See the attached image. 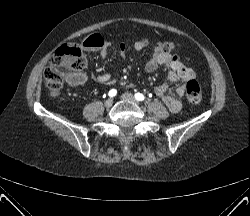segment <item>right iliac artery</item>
<instances>
[{
	"label": "right iliac artery",
	"mask_w": 250,
	"mask_h": 216,
	"mask_svg": "<svg viewBox=\"0 0 250 216\" xmlns=\"http://www.w3.org/2000/svg\"><path fill=\"white\" fill-rule=\"evenodd\" d=\"M108 94H109L110 97H114L117 94V90L111 89Z\"/></svg>",
	"instance_id": "obj_1"
}]
</instances>
